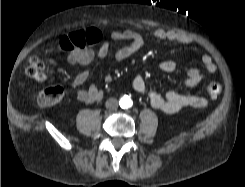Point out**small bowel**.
Segmentation results:
<instances>
[{
  "label": "small bowel",
  "mask_w": 245,
  "mask_h": 187,
  "mask_svg": "<svg viewBox=\"0 0 245 187\" xmlns=\"http://www.w3.org/2000/svg\"><path fill=\"white\" fill-rule=\"evenodd\" d=\"M87 40L91 43H99L96 51L91 49L75 50L68 54L67 60L71 64L88 66L94 60H104L110 54V44L104 38L102 32L97 28H89L85 32ZM151 37L161 42H172L189 45L192 38L184 33L162 28L154 29L150 33ZM110 39L114 41H126V45L118 49L114 57L116 61H124L142 49L146 43L145 37L135 30H114L110 33ZM203 71L197 68H191L187 71L186 77L182 82V87L190 88L200 83L206 75L214 74L217 71L216 64L210 55L202 56ZM159 69L165 73H172L176 70V64L173 61L166 60L159 64ZM89 70L85 69L78 73L71 81V88L75 90L76 98L82 103H92L102 97V91L95 85L90 86L86 90L79 87L88 79ZM106 81H110L109 74L105 77ZM133 89L138 93H147L151 106L161 112L172 114L183 108L193 107L199 108L207 104V100L203 97L180 94L173 90H167L164 95L155 91H147V86L142 76L134 77L132 81Z\"/></svg>",
  "instance_id": "c3829d8e"
}]
</instances>
